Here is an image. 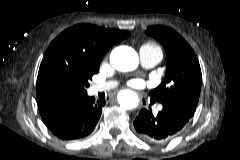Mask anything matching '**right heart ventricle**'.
<instances>
[{
    "mask_svg": "<svg viewBox=\"0 0 240 160\" xmlns=\"http://www.w3.org/2000/svg\"><path fill=\"white\" fill-rule=\"evenodd\" d=\"M143 46H146V47H149V48H153V49H157L160 51V49L153 43H146L145 45Z\"/></svg>",
    "mask_w": 240,
    "mask_h": 160,
    "instance_id": "right-heart-ventricle-1",
    "label": "right heart ventricle"
}]
</instances>
